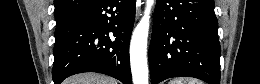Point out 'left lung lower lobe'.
Wrapping results in <instances>:
<instances>
[{
  "label": "left lung lower lobe",
  "mask_w": 260,
  "mask_h": 84,
  "mask_svg": "<svg viewBox=\"0 0 260 84\" xmlns=\"http://www.w3.org/2000/svg\"><path fill=\"white\" fill-rule=\"evenodd\" d=\"M214 0H157L149 49L151 82L195 77L220 83Z\"/></svg>",
  "instance_id": "obj_1"
}]
</instances>
